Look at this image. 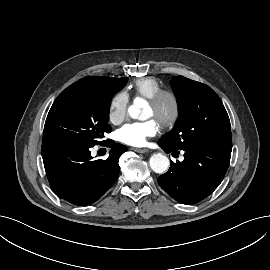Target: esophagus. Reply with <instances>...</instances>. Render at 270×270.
<instances>
[{"instance_id": "esophagus-1", "label": "esophagus", "mask_w": 270, "mask_h": 270, "mask_svg": "<svg viewBox=\"0 0 270 270\" xmlns=\"http://www.w3.org/2000/svg\"><path fill=\"white\" fill-rule=\"evenodd\" d=\"M133 150L138 153H146L149 151L148 149L145 148H134Z\"/></svg>"}]
</instances>
